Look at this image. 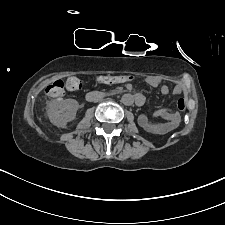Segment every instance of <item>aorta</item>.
Instances as JSON below:
<instances>
[{
    "label": "aorta",
    "mask_w": 225,
    "mask_h": 225,
    "mask_svg": "<svg viewBox=\"0 0 225 225\" xmlns=\"http://www.w3.org/2000/svg\"><path fill=\"white\" fill-rule=\"evenodd\" d=\"M121 102L124 104V105H131L133 104L134 102V98L131 94H124L122 97H121Z\"/></svg>",
    "instance_id": "obj_1"
}]
</instances>
